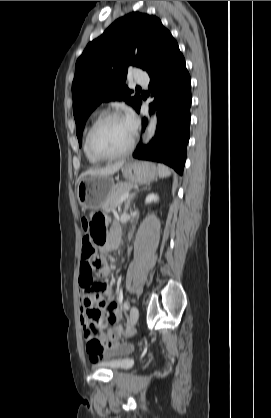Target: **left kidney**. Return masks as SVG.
I'll list each match as a JSON object with an SVG mask.
<instances>
[{"instance_id": "5707ae66", "label": "left kidney", "mask_w": 271, "mask_h": 418, "mask_svg": "<svg viewBox=\"0 0 271 418\" xmlns=\"http://www.w3.org/2000/svg\"><path fill=\"white\" fill-rule=\"evenodd\" d=\"M157 201H158V196L152 193L146 197L145 203L148 204V203L157 202Z\"/></svg>"}]
</instances>
